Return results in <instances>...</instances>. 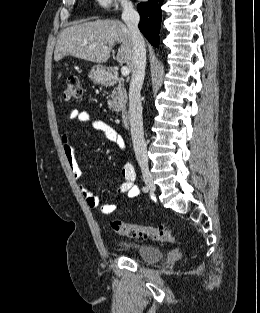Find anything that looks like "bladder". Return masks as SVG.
I'll return each mask as SVG.
<instances>
[{"label":"bladder","mask_w":260,"mask_h":313,"mask_svg":"<svg viewBox=\"0 0 260 313\" xmlns=\"http://www.w3.org/2000/svg\"><path fill=\"white\" fill-rule=\"evenodd\" d=\"M124 249L132 251L145 262L158 261L163 257V252L154 246L138 244L133 242H118Z\"/></svg>","instance_id":"bladder-1"}]
</instances>
